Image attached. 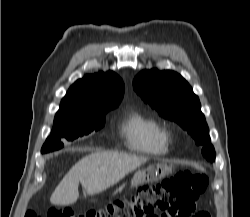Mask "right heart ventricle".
<instances>
[{"instance_id":"obj_1","label":"right heart ventricle","mask_w":250,"mask_h":217,"mask_svg":"<svg viewBox=\"0 0 250 217\" xmlns=\"http://www.w3.org/2000/svg\"><path fill=\"white\" fill-rule=\"evenodd\" d=\"M119 134L131 151L151 156L165 155L170 150V136L155 119L132 111L119 124Z\"/></svg>"}]
</instances>
